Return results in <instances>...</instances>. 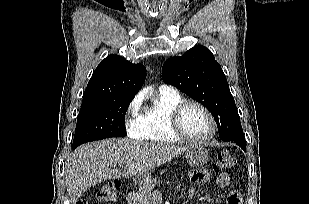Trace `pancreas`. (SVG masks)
I'll list each match as a JSON object with an SVG mask.
<instances>
[{
	"mask_svg": "<svg viewBox=\"0 0 309 204\" xmlns=\"http://www.w3.org/2000/svg\"><path fill=\"white\" fill-rule=\"evenodd\" d=\"M164 171H161L162 174ZM156 184V177L153 179L148 180L140 187V191L134 194L136 201L140 204H152V191Z\"/></svg>",
	"mask_w": 309,
	"mask_h": 204,
	"instance_id": "obj_1",
	"label": "pancreas"
}]
</instances>
